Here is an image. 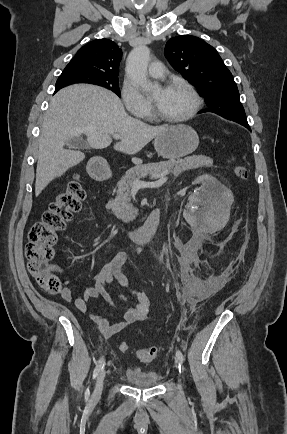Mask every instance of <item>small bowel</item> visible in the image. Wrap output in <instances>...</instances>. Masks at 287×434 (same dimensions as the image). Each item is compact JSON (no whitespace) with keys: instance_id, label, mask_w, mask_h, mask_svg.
Returning <instances> with one entry per match:
<instances>
[{"instance_id":"small-bowel-1","label":"small bowel","mask_w":287,"mask_h":434,"mask_svg":"<svg viewBox=\"0 0 287 434\" xmlns=\"http://www.w3.org/2000/svg\"><path fill=\"white\" fill-rule=\"evenodd\" d=\"M128 259V253H117L96 275L92 287L77 293L73 283L68 282L61 294V299L65 303L73 302L79 312L83 314L89 313L97 326L98 332L105 339L111 338L135 322L146 319L150 311V298L142 292L131 289L129 280L123 272L122 266ZM114 282L126 289L128 295L121 293L114 295L111 289ZM90 299H101L110 308H117L118 301L127 304L128 307L121 321L110 323L103 316L90 311Z\"/></svg>"}]
</instances>
